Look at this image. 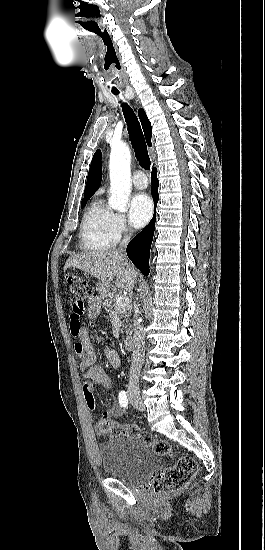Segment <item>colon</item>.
<instances>
[{"label": "colon", "instance_id": "colon-1", "mask_svg": "<svg viewBox=\"0 0 265 550\" xmlns=\"http://www.w3.org/2000/svg\"><path fill=\"white\" fill-rule=\"evenodd\" d=\"M65 282L73 296L71 315L78 318L85 313V302L90 299L93 289L88 281L76 274H67ZM98 433L102 436L133 437L150 446L159 456L175 457V463L161 470L153 482L156 495H171L183 489L197 474L196 461L187 456H178L166 441L154 438L150 433L136 425L121 424L110 417H102L98 422Z\"/></svg>", "mask_w": 265, "mask_h": 550}]
</instances>
